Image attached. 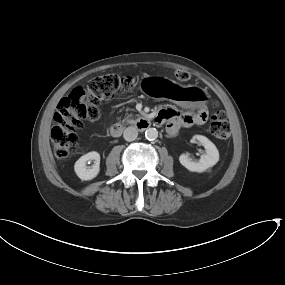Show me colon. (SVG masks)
Returning a JSON list of instances; mask_svg holds the SVG:
<instances>
[{
	"instance_id": "5ec220e1",
	"label": "colon",
	"mask_w": 285,
	"mask_h": 285,
	"mask_svg": "<svg viewBox=\"0 0 285 285\" xmlns=\"http://www.w3.org/2000/svg\"><path fill=\"white\" fill-rule=\"evenodd\" d=\"M176 78L180 82H186L190 74L184 70H177ZM135 87L133 77L129 75L104 74L97 76L86 85L74 87L71 92L63 97L54 114L51 139L55 156L64 160L77 149V130L85 119H95L98 114V105L104 99L112 97L118 91H131ZM156 121L161 123V117ZM209 130L218 140H226L230 134V128L226 113L213 104V112Z\"/></svg>"
}]
</instances>
